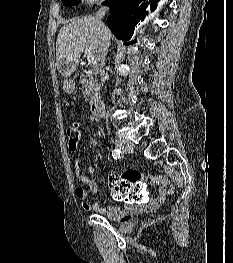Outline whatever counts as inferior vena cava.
Wrapping results in <instances>:
<instances>
[{
    "instance_id": "inferior-vena-cava-1",
    "label": "inferior vena cava",
    "mask_w": 233,
    "mask_h": 263,
    "mask_svg": "<svg viewBox=\"0 0 233 263\" xmlns=\"http://www.w3.org/2000/svg\"><path fill=\"white\" fill-rule=\"evenodd\" d=\"M107 10L108 9L106 7H101L99 8V10L96 12L94 16V21L98 26V32H99V48L96 54V69L100 73L102 86L105 81V71H104L105 51L108 43V39L106 37V26L102 22V19L106 15Z\"/></svg>"
}]
</instances>
